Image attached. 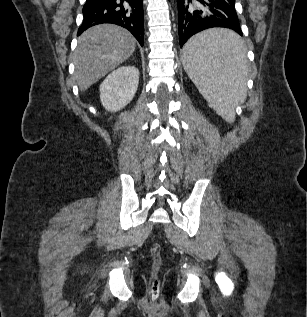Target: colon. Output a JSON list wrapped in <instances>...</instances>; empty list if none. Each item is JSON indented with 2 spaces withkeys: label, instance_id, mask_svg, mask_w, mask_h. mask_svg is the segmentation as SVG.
<instances>
[{
  "label": "colon",
  "instance_id": "colon-1",
  "mask_svg": "<svg viewBox=\"0 0 307 317\" xmlns=\"http://www.w3.org/2000/svg\"><path fill=\"white\" fill-rule=\"evenodd\" d=\"M151 253L154 257V266L152 270V276L150 280V292L151 295H158L159 293V287H160V282L158 278V268L160 264V253H161V246L158 243H155L151 247Z\"/></svg>",
  "mask_w": 307,
  "mask_h": 317
}]
</instances>
